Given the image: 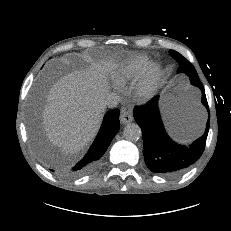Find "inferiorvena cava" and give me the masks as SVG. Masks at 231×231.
Masks as SVG:
<instances>
[{
	"label": "inferior vena cava",
	"instance_id": "inferior-vena-cava-1",
	"mask_svg": "<svg viewBox=\"0 0 231 231\" xmlns=\"http://www.w3.org/2000/svg\"><path fill=\"white\" fill-rule=\"evenodd\" d=\"M120 101V97L116 93H109L106 95L104 104L109 108L116 107Z\"/></svg>",
	"mask_w": 231,
	"mask_h": 231
}]
</instances>
